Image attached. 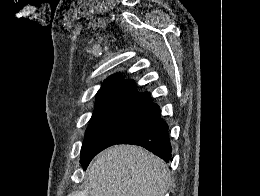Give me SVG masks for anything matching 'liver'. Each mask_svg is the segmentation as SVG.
<instances>
[{"label": "liver", "instance_id": "liver-1", "mask_svg": "<svg viewBox=\"0 0 260 196\" xmlns=\"http://www.w3.org/2000/svg\"><path fill=\"white\" fill-rule=\"evenodd\" d=\"M90 196H165L167 166L140 146H113L87 170Z\"/></svg>", "mask_w": 260, "mask_h": 196}]
</instances>
